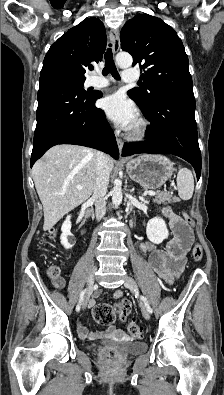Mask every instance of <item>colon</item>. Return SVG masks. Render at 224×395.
Listing matches in <instances>:
<instances>
[{
	"label": "colon",
	"instance_id": "5ec220e1",
	"mask_svg": "<svg viewBox=\"0 0 224 395\" xmlns=\"http://www.w3.org/2000/svg\"><path fill=\"white\" fill-rule=\"evenodd\" d=\"M183 218L185 225L179 226V230H181L184 233H187L191 225V219L189 215L186 213L183 214ZM54 234H55V230L52 229L50 230L47 237L51 238L52 236H54ZM42 244L43 245L47 244L46 238L42 239ZM191 256L195 261H200L202 259L203 249L200 244L198 243L194 244L192 248ZM48 275L52 279H58L60 276L59 267L55 265L49 267ZM130 308L131 305L128 300H123L116 305H111L109 303H101L94 308L93 319L96 323L101 325H110L114 323L116 318H119L121 321L126 322L128 321ZM128 332L134 338H139L143 335V330L141 326H139L133 320L128 321ZM104 356L108 360H113L115 358V354L113 352H106Z\"/></svg>",
	"mask_w": 224,
	"mask_h": 395
}]
</instances>
